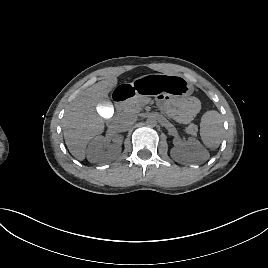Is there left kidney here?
I'll use <instances>...</instances> for the list:
<instances>
[{"label":"left kidney","instance_id":"obj_1","mask_svg":"<svg viewBox=\"0 0 268 268\" xmlns=\"http://www.w3.org/2000/svg\"><path fill=\"white\" fill-rule=\"evenodd\" d=\"M170 154L174 160L184 163H200L209 157L201 143L193 137L188 138L187 142L176 141Z\"/></svg>","mask_w":268,"mask_h":268}]
</instances>
